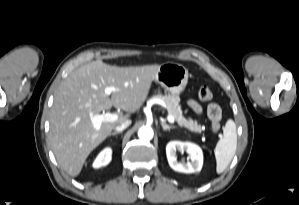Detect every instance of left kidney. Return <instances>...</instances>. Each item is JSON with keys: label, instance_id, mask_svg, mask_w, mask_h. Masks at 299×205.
Here are the masks:
<instances>
[{"label": "left kidney", "instance_id": "1", "mask_svg": "<svg viewBox=\"0 0 299 205\" xmlns=\"http://www.w3.org/2000/svg\"><path fill=\"white\" fill-rule=\"evenodd\" d=\"M177 151H186L191 159V162H178L176 157ZM166 155L170 167L178 172H199L203 165V153L201 148L191 142L170 141L166 146Z\"/></svg>", "mask_w": 299, "mask_h": 205}]
</instances>
